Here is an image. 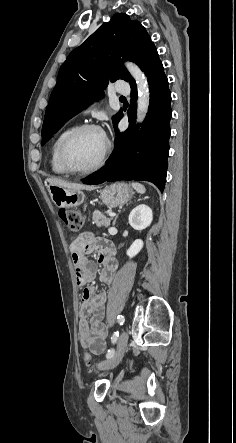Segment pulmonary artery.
Returning a JSON list of instances; mask_svg holds the SVG:
<instances>
[{
  "mask_svg": "<svg viewBox=\"0 0 236 443\" xmlns=\"http://www.w3.org/2000/svg\"><path fill=\"white\" fill-rule=\"evenodd\" d=\"M116 91H117L118 93H122L124 90H123L121 87H116Z\"/></svg>",
  "mask_w": 236,
  "mask_h": 443,
  "instance_id": "pulmonary-artery-1",
  "label": "pulmonary artery"
}]
</instances>
